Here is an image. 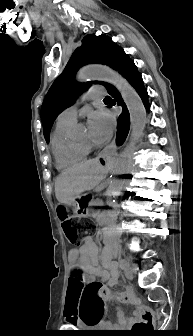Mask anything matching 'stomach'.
<instances>
[{
  "instance_id": "stomach-1",
  "label": "stomach",
  "mask_w": 193,
  "mask_h": 336,
  "mask_svg": "<svg viewBox=\"0 0 193 336\" xmlns=\"http://www.w3.org/2000/svg\"><path fill=\"white\" fill-rule=\"evenodd\" d=\"M108 159H103L100 163L105 164ZM90 205V200L86 194L80 195L72 201V206L74 212L81 217H87L89 215L88 206Z\"/></svg>"
}]
</instances>
